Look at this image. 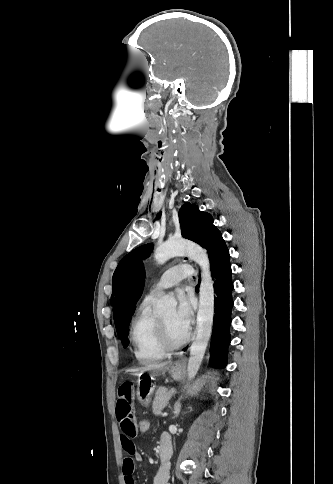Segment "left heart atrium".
<instances>
[{
	"instance_id": "39dd6f15",
	"label": "left heart atrium",
	"mask_w": 333,
	"mask_h": 484,
	"mask_svg": "<svg viewBox=\"0 0 333 484\" xmlns=\"http://www.w3.org/2000/svg\"><path fill=\"white\" fill-rule=\"evenodd\" d=\"M177 299L178 304L174 312V321L181 331L187 333L193 320V300L182 292L178 294Z\"/></svg>"
}]
</instances>
